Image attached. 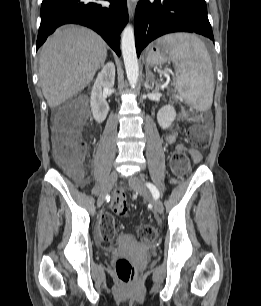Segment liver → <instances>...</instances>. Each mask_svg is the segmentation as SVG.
Wrapping results in <instances>:
<instances>
[{"instance_id": "1", "label": "liver", "mask_w": 261, "mask_h": 306, "mask_svg": "<svg viewBox=\"0 0 261 306\" xmlns=\"http://www.w3.org/2000/svg\"><path fill=\"white\" fill-rule=\"evenodd\" d=\"M107 44L94 31L69 26L55 32L40 53L39 78L51 108L82 91L103 66Z\"/></svg>"}]
</instances>
